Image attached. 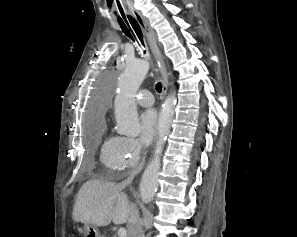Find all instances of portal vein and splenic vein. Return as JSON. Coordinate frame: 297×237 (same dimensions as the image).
<instances>
[{
	"label": "portal vein and splenic vein",
	"instance_id": "18ae733b",
	"mask_svg": "<svg viewBox=\"0 0 297 237\" xmlns=\"http://www.w3.org/2000/svg\"><path fill=\"white\" fill-rule=\"evenodd\" d=\"M117 233L119 237H126V234H127L124 228H120Z\"/></svg>",
	"mask_w": 297,
	"mask_h": 237
}]
</instances>
